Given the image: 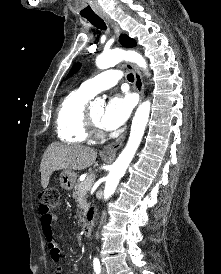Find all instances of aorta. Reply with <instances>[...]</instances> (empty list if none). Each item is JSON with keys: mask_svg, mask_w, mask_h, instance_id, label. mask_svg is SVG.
Instances as JSON below:
<instances>
[{"mask_svg": "<svg viewBox=\"0 0 221 274\" xmlns=\"http://www.w3.org/2000/svg\"><path fill=\"white\" fill-rule=\"evenodd\" d=\"M122 60L134 62L143 69L147 68L145 59L139 53L135 51H124L122 49H114L107 53L101 54L96 59V66L99 69H107L109 67L115 66ZM149 114L150 101L146 100L137 108L132 120L130 136L127 145L114 162L106 178L104 199H108L115 192L119 180L121 177H123L126 169L132 161L144 135V131L149 119Z\"/></svg>", "mask_w": 221, "mask_h": 274, "instance_id": "aorta-1", "label": "aorta"}]
</instances>
